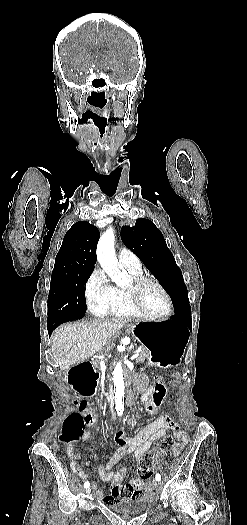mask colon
Returning <instances> with one entry per match:
<instances>
[{
	"instance_id": "obj_1",
	"label": "colon",
	"mask_w": 247,
	"mask_h": 525,
	"mask_svg": "<svg viewBox=\"0 0 247 525\" xmlns=\"http://www.w3.org/2000/svg\"><path fill=\"white\" fill-rule=\"evenodd\" d=\"M167 378L163 375H158L156 380H148L145 383L146 388L157 389L153 394V402H146L143 405L144 412L147 415V418H154V412L160 409V406L164 403V398L167 395L169 390L168 385L165 383ZM79 412L73 413L70 415L66 422L63 433L61 435V440L65 443H72L77 441L83 436L84 428L95 427V431H101V424H104V421H101L97 418H91L90 412L88 411L87 404L81 402L78 405ZM134 424H137V421H134ZM143 427H146V424H143ZM175 444V437L172 434L165 436L160 440L157 447L147 453L137 465V481H143L144 479L150 477L153 473L155 465L160 462L165 454L172 450Z\"/></svg>"
}]
</instances>
